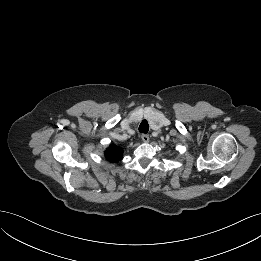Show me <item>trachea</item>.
<instances>
[{
  "label": "trachea",
  "mask_w": 261,
  "mask_h": 261,
  "mask_svg": "<svg viewBox=\"0 0 261 261\" xmlns=\"http://www.w3.org/2000/svg\"><path fill=\"white\" fill-rule=\"evenodd\" d=\"M149 131V124L146 120H143L139 125V132L146 134Z\"/></svg>",
  "instance_id": "1"
}]
</instances>
